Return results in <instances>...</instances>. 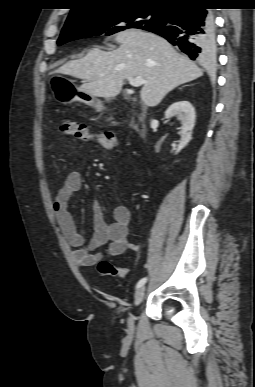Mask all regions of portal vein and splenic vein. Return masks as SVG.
<instances>
[{
    "label": "portal vein and splenic vein",
    "instance_id": "18ae733b",
    "mask_svg": "<svg viewBox=\"0 0 255 387\" xmlns=\"http://www.w3.org/2000/svg\"><path fill=\"white\" fill-rule=\"evenodd\" d=\"M129 83L133 87H139L145 83V80L142 77H136V78H128Z\"/></svg>",
    "mask_w": 255,
    "mask_h": 387
}]
</instances>
